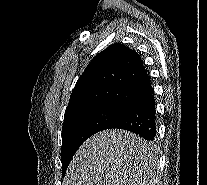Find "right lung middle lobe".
I'll return each instance as SVG.
<instances>
[{"mask_svg": "<svg viewBox=\"0 0 207 185\" xmlns=\"http://www.w3.org/2000/svg\"><path fill=\"white\" fill-rule=\"evenodd\" d=\"M122 109L102 105L76 112L64 119L62 128V176L81 144L93 134L106 129Z\"/></svg>", "mask_w": 207, "mask_h": 185, "instance_id": "right-lung-middle-lobe-1", "label": "right lung middle lobe"}]
</instances>
